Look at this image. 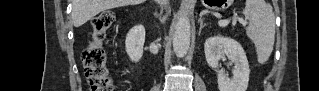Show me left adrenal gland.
Returning a JSON list of instances; mask_svg holds the SVG:
<instances>
[{
    "label": "left adrenal gland",
    "instance_id": "obj_1",
    "mask_svg": "<svg viewBox=\"0 0 319 91\" xmlns=\"http://www.w3.org/2000/svg\"><path fill=\"white\" fill-rule=\"evenodd\" d=\"M199 24H200V27H199V34L201 33L202 29L207 26L208 24L204 23L203 22V19H199Z\"/></svg>",
    "mask_w": 319,
    "mask_h": 91
}]
</instances>
